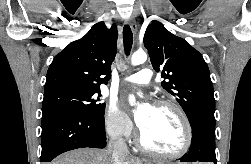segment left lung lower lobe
I'll return each instance as SVG.
<instances>
[{
	"label": "left lung lower lobe",
	"mask_w": 251,
	"mask_h": 164,
	"mask_svg": "<svg viewBox=\"0 0 251 164\" xmlns=\"http://www.w3.org/2000/svg\"><path fill=\"white\" fill-rule=\"evenodd\" d=\"M192 140L187 156L181 162H213L215 155V121L199 118L192 125Z\"/></svg>",
	"instance_id": "obj_1"
}]
</instances>
